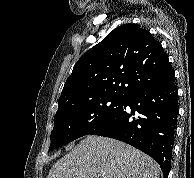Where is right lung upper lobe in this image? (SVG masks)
<instances>
[{
    "label": "right lung upper lobe",
    "instance_id": "1",
    "mask_svg": "<svg viewBox=\"0 0 194 178\" xmlns=\"http://www.w3.org/2000/svg\"><path fill=\"white\" fill-rule=\"evenodd\" d=\"M173 74L161 43L149 31L124 24L77 61L59 97L58 109L98 96L128 98Z\"/></svg>",
    "mask_w": 194,
    "mask_h": 178
}]
</instances>
